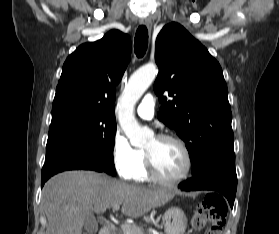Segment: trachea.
I'll return each instance as SVG.
<instances>
[{
  "instance_id": "trachea-1",
  "label": "trachea",
  "mask_w": 279,
  "mask_h": 234,
  "mask_svg": "<svg viewBox=\"0 0 279 234\" xmlns=\"http://www.w3.org/2000/svg\"><path fill=\"white\" fill-rule=\"evenodd\" d=\"M148 46V30L146 26L141 25L136 31L134 39V49L137 57L141 58L145 55Z\"/></svg>"
}]
</instances>
